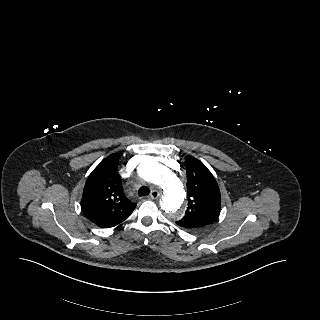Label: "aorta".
Masks as SVG:
<instances>
[{
    "label": "aorta",
    "mask_w": 320,
    "mask_h": 320,
    "mask_svg": "<svg viewBox=\"0 0 320 320\" xmlns=\"http://www.w3.org/2000/svg\"><path fill=\"white\" fill-rule=\"evenodd\" d=\"M137 173L145 181L155 184L163 190L161 208L167 215L172 219L181 218L184 190L176 173L150 157L138 166Z\"/></svg>",
    "instance_id": "1"
}]
</instances>
